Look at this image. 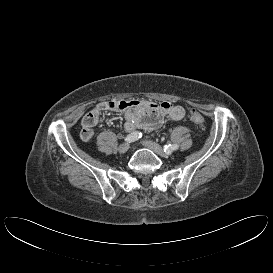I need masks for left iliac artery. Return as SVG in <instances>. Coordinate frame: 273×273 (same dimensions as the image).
<instances>
[{
	"instance_id": "left-iliac-artery-1",
	"label": "left iliac artery",
	"mask_w": 273,
	"mask_h": 273,
	"mask_svg": "<svg viewBox=\"0 0 273 273\" xmlns=\"http://www.w3.org/2000/svg\"><path fill=\"white\" fill-rule=\"evenodd\" d=\"M178 148L179 146L177 144H173V145L169 144L164 146V151L167 154H171L172 151L177 150Z\"/></svg>"
}]
</instances>
